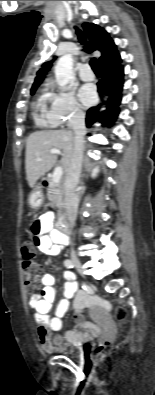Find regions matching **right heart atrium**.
Instances as JSON below:
<instances>
[{
  "label": "right heart atrium",
  "instance_id": "1",
  "mask_svg": "<svg viewBox=\"0 0 155 395\" xmlns=\"http://www.w3.org/2000/svg\"><path fill=\"white\" fill-rule=\"evenodd\" d=\"M49 118L53 127H64L80 122L84 113L73 91L58 88L49 94Z\"/></svg>",
  "mask_w": 155,
  "mask_h": 395
}]
</instances>
